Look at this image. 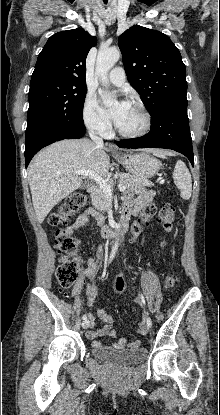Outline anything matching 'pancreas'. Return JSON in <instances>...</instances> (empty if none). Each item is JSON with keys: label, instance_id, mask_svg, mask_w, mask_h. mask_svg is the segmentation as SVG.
Masks as SVG:
<instances>
[{"label": "pancreas", "instance_id": "1", "mask_svg": "<svg viewBox=\"0 0 220 415\" xmlns=\"http://www.w3.org/2000/svg\"><path fill=\"white\" fill-rule=\"evenodd\" d=\"M109 182L114 185L113 180H109ZM119 184L125 186L127 189L130 190H141L144 187H152L154 184L144 178H139L134 175H130L127 173H120L119 174ZM91 199L92 204L100 211H107L108 209V197L104 193V191L100 188V186H96L91 190Z\"/></svg>", "mask_w": 220, "mask_h": 415}]
</instances>
